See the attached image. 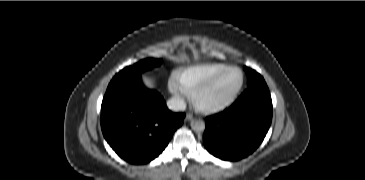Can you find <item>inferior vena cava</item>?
Wrapping results in <instances>:
<instances>
[{"instance_id": "1", "label": "inferior vena cava", "mask_w": 365, "mask_h": 180, "mask_svg": "<svg viewBox=\"0 0 365 180\" xmlns=\"http://www.w3.org/2000/svg\"><path fill=\"white\" fill-rule=\"evenodd\" d=\"M167 106L170 110L173 111H184L186 109L185 101L179 96L169 99L167 101Z\"/></svg>"}]
</instances>
